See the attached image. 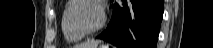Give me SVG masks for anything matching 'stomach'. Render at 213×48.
Here are the masks:
<instances>
[{
    "instance_id": "stomach-1",
    "label": "stomach",
    "mask_w": 213,
    "mask_h": 48,
    "mask_svg": "<svg viewBox=\"0 0 213 48\" xmlns=\"http://www.w3.org/2000/svg\"><path fill=\"white\" fill-rule=\"evenodd\" d=\"M95 48H108V45L100 44L99 46H96Z\"/></svg>"
}]
</instances>
